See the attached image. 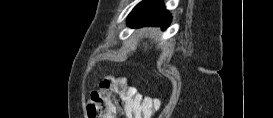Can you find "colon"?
I'll return each mask as SVG.
<instances>
[{"instance_id": "1", "label": "colon", "mask_w": 273, "mask_h": 118, "mask_svg": "<svg viewBox=\"0 0 273 118\" xmlns=\"http://www.w3.org/2000/svg\"><path fill=\"white\" fill-rule=\"evenodd\" d=\"M119 84L117 88L118 82L110 77L101 81L99 91L90 96L89 118H115L117 111L128 118H149L159 108V99L142 96L125 82Z\"/></svg>"}]
</instances>
